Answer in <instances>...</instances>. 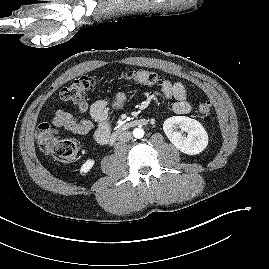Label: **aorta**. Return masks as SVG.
Returning a JSON list of instances; mask_svg holds the SVG:
<instances>
[{
  "label": "aorta",
  "mask_w": 269,
  "mask_h": 269,
  "mask_svg": "<svg viewBox=\"0 0 269 269\" xmlns=\"http://www.w3.org/2000/svg\"><path fill=\"white\" fill-rule=\"evenodd\" d=\"M133 136L137 139H141L144 136V130L142 128H135L133 130Z\"/></svg>",
  "instance_id": "aorta-1"
}]
</instances>
